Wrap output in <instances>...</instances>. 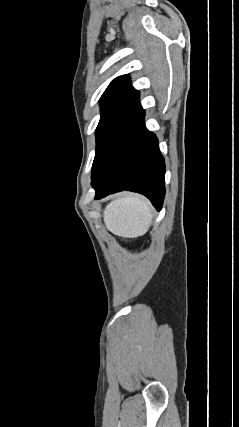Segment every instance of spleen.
I'll use <instances>...</instances> for the list:
<instances>
[{"instance_id": "obj_1", "label": "spleen", "mask_w": 239, "mask_h": 427, "mask_svg": "<svg viewBox=\"0 0 239 427\" xmlns=\"http://www.w3.org/2000/svg\"><path fill=\"white\" fill-rule=\"evenodd\" d=\"M106 228L117 236L144 235L152 221L150 203L137 194H125L110 202L103 213Z\"/></svg>"}]
</instances>
